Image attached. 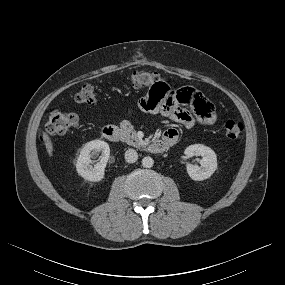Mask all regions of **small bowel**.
<instances>
[{
    "mask_svg": "<svg viewBox=\"0 0 285 285\" xmlns=\"http://www.w3.org/2000/svg\"><path fill=\"white\" fill-rule=\"evenodd\" d=\"M147 96L138 101V109L144 113H164L171 120L187 127L199 123L212 125L216 121L215 107L200 91L183 87L179 91L163 78L152 79L147 88ZM133 111L128 112L132 116ZM178 139V131L168 128L162 140L171 145Z\"/></svg>",
    "mask_w": 285,
    "mask_h": 285,
    "instance_id": "1",
    "label": "small bowel"
}]
</instances>
